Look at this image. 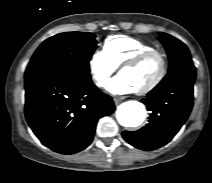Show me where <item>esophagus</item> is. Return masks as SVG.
Returning <instances> with one entry per match:
<instances>
[{
	"label": "esophagus",
	"mask_w": 212,
	"mask_h": 183,
	"mask_svg": "<svg viewBox=\"0 0 212 183\" xmlns=\"http://www.w3.org/2000/svg\"><path fill=\"white\" fill-rule=\"evenodd\" d=\"M120 102H121V99H119V98H114V103H115V105L120 104Z\"/></svg>",
	"instance_id": "1"
}]
</instances>
